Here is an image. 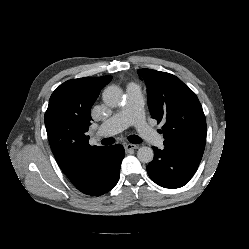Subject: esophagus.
<instances>
[{"instance_id":"1","label":"esophagus","mask_w":249,"mask_h":249,"mask_svg":"<svg viewBox=\"0 0 249 249\" xmlns=\"http://www.w3.org/2000/svg\"><path fill=\"white\" fill-rule=\"evenodd\" d=\"M138 148H139V146L138 145H134V144H126L125 145L126 152H129L131 150L138 149Z\"/></svg>"}]
</instances>
